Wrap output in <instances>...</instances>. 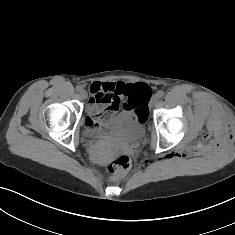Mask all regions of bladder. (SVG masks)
Here are the masks:
<instances>
[{
	"label": "bladder",
	"instance_id": "bladder-1",
	"mask_svg": "<svg viewBox=\"0 0 235 235\" xmlns=\"http://www.w3.org/2000/svg\"><path fill=\"white\" fill-rule=\"evenodd\" d=\"M146 127L144 120L137 114H119L114 116L102 130H94L85 127V133L89 137L111 135L113 137L125 140L136 141L144 137Z\"/></svg>",
	"mask_w": 235,
	"mask_h": 235
}]
</instances>
